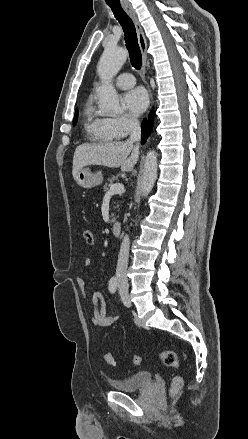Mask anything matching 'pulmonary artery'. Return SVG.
I'll list each match as a JSON object with an SVG mask.
<instances>
[{
	"label": "pulmonary artery",
	"instance_id": "pulmonary-artery-1",
	"mask_svg": "<svg viewBox=\"0 0 248 439\" xmlns=\"http://www.w3.org/2000/svg\"><path fill=\"white\" fill-rule=\"evenodd\" d=\"M116 85L120 89H128L135 85V78L131 73H122L116 79Z\"/></svg>",
	"mask_w": 248,
	"mask_h": 439
}]
</instances>
